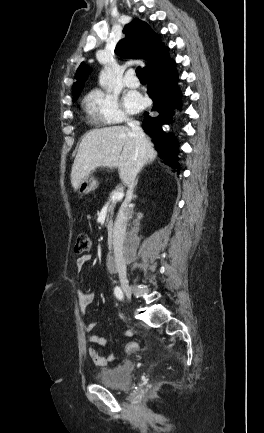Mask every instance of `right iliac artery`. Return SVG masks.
I'll return each mask as SVG.
<instances>
[{
  "mask_svg": "<svg viewBox=\"0 0 264 433\" xmlns=\"http://www.w3.org/2000/svg\"><path fill=\"white\" fill-rule=\"evenodd\" d=\"M114 294H115V296H116L119 300H122L123 297H124L121 288L118 287V286L115 287V289H114Z\"/></svg>",
  "mask_w": 264,
  "mask_h": 433,
  "instance_id": "82829eb1",
  "label": "right iliac artery"
}]
</instances>
